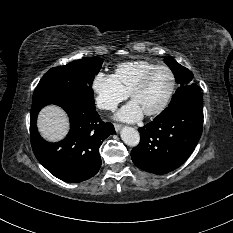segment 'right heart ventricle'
I'll list each match as a JSON object with an SVG mask.
<instances>
[{
	"label": "right heart ventricle",
	"instance_id": "right-heart-ventricle-1",
	"mask_svg": "<svg viewBox=\"0 0 233 233\" xmlns=\"http://www.w3.org/2000/svg\"><path fill=\"white\" fill-rule=\"evenodd\" d=\"M157 64L146 60H134L118 64L113 76L121 88L128 94L140 78Z\"/></svg>",
	"mask_w": 233,
	"mask_h": 233
}]
</instances>
